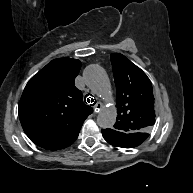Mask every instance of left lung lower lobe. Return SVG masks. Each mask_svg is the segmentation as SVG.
<instances>
[{"label": "left lung lower lobe", "instance_id": "0a47b994", "mask_svg": "<svg viewBox=\"0 0 193 193\" xmlns=\"http://www.w3.org/2000/svg\"><path fill=\"white\" fill-rule=\"evenodd\" d=\"M102 135L108 143L122 148L136 147L148 137V134L135 136L134 134H126L113 129H102Z\"/></svg>", "mask_w": 193, "mask_h": 193}]
</instances>
